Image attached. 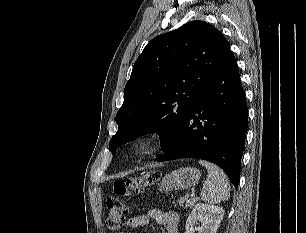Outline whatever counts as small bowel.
<instances>
[{
    "instance_id": "obj_1",
    "label": "small bowel",
    "mask_w": 306,
    "mask_h": 233,
    "mask_svg": "<svg viewBox=\"0 0 306 233\" xmlns=\"http://www.w3.org/2000/svg\"><path fill=\"white\" fill-rule=\"evenodd\" d=\"M151 220L158 224L165 225L167 233H178L179 216L175 212L164 213L157 209H151L145 215L134 216L127 222L130 229L143 228L147 226ZM120 233H126L124 231Z\"/></svg>"
}]
</instances>
